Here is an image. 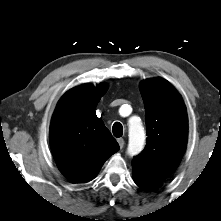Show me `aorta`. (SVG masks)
Listing matches in <instances>:
<instances>
[{
  "mask_svg": "<svg viewBox=\"0 0 221 221\" xmlns=\"http://www.w3.org/2000/svg\"><path fill=\"white\" fill-rule=\"evenodd\" d=\"M145 144V132L140 121L129 123V144L127 153L129 156H135L139 154Z\"/></svg>",
  "mask_w": 221,
  "mask_h": 221,
  "instance_id": "aorta-1",
  "label": "aorta"
}]
</instances>
